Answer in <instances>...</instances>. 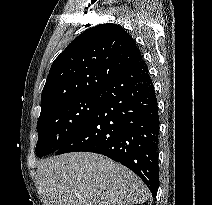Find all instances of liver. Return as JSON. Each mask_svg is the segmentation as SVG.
<instances>
[{"label":"liver","mask_w":212,"mask_h":205,"mask_svg":"<svg viewBox=\"0 0 212 205\" xmlns=\"http://www.w3.org/2000/svg\"><path fill=\"white\" fill-rule=\"evenodd\" d=\"M43 205H133L149 190L128 168L91 152L48 158L37 168Z\"/></svg>","instance_id":"1"}]
</instances>
